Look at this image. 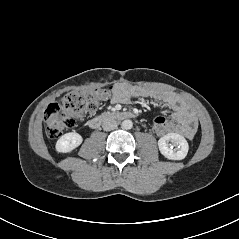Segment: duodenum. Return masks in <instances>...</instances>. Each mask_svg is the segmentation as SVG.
Returning a JSON list of instances; mask_svg holds the SVG:
<instances>
[{
	"mask_svg": "<svg viewBox=\"0 0 239 239\" xmlns=\"http://www.w3.org/2000/svg\"><path fill=\"white\" fill-rule=\"evenodd\" d=\"M134 115L131 112H124V111H111V112H104L101 113L94 118H92L89 122V126L93 129L98 128L103 122L116 119V120H125L133 118Z\"/></svg>",
	"mask_w": 239,
	"mask_h": 239,
	"instance_id": "410a0bca",
	"label": "duodenum"
}]
</instances>
